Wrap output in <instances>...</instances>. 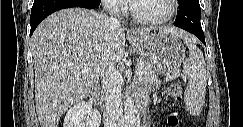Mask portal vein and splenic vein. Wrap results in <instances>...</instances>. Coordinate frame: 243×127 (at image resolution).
Returning a JSON list of instances; mask_svg holds the SVG:
<instances>
[{
    "mask_svg": "<svg viewBox=\"0 0 243 127\" xmlns=\"http://www.w3.org/2000/svg\"><path fill=\"white\" fill-rule=\"evenodd\" d=\"M88 70H89L88 68H84L83 72L86 73V72H88ZM143 73H144V71H143L142 68H138L136 70V74L139 75V76L142 75Z\"/></svg>",
    "mask_w": 243,
    "mask_h": 127,
    "instance_id": "portal-vein-and-splenic-vein-1",
    "label": "portal vein and splenic vein"
}]
</instances>
